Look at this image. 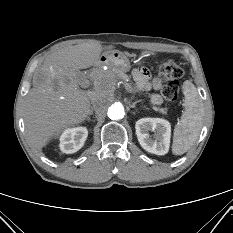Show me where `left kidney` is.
<instances>
[{
	"label": "left kidney",
	"mask_w": 233,
	"mask_h": 233,
	"mask_svg": "<svg viewBox=\"0 0 233 233\" xmlns=\"http://www.w3.org/2000/svg\"><path fill=\"white\" fill-rule=\"evenodd\" d=\"M136 135L141 147L156 155H165L169 150L171 125L161 118H142L135 124ZM154 131L153 137L149 135Z\"/></svg>",
	"instance_id": "1"
}]
</instances>
